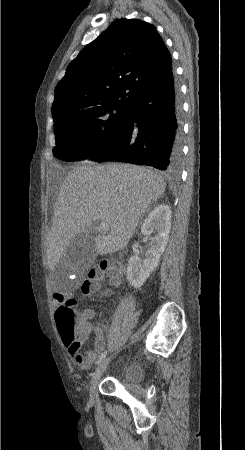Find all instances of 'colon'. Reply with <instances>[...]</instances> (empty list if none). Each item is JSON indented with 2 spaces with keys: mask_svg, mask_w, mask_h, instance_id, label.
Segmentation results:
<instances>
[{
  "mask_svg": "<svg viewBox=\"0 0 245 450\" xmlns=\"http://www.w3.org/2000/svg\"><path fill=\"white\" fill-rule=\"evenodd\" d=\"M125 262L112 259L92 268L82 284V290L89 292L95 285L114 278H121L125 270ZM61 303L55 313V322L58 333L66 343L79 344V337L87 338L89 334L86 322L79 320L74 311V301L62 294H55ZM78 361L82 358L78 356Z\"/></svg>",
  "mask_w": 245,
  "mask_h": 450,
  "instance_id": "1",
  "label": "colon"
}]
</instances>
